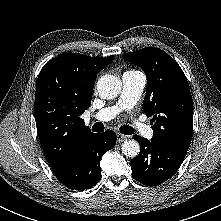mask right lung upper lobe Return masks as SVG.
Listing matches in <instances>:
<instances>
[{"instance_id": "1", "label": "right lung upper lobe", "mask_w": 221, "mask_h": 221, "mask_svg": "<svg viewBox=\"0 0 221 221\" xmlns=\"http://www.w3.org/2000/svg\"><path fill=\"white\" fill-rule=\"evenodd\" d=\"M113 59L66 53L41 69L34 114L42 149L55 174L70 164L84 138L92 133L81 115L91 105L97 74Z\"/></svg>"}]
</instances>
